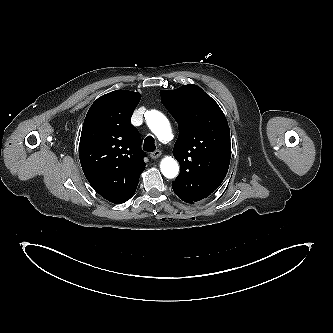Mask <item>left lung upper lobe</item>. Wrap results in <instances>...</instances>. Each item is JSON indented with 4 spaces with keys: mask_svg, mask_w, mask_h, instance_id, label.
<instances>
[{
    "mask_svg": "<svg viewBox=\"0 0 333 333\" xmlns=\"http://www.w3.org/2000/svg\"><path fill=\"white\" fill-rule=\"evenodd\" d=\"M160 95L179 126L173 153L181 170L172 182L173 190L177 196L200 201L220 186L229 168L231 143L226 117L196 85L161 90Z\"/></svg>",
    "mask_w": 333,
    "mask_h": 333,
    "instance_id": "5c2ea615",
    "label": "left lung upper lobe"
}]
</instances>
